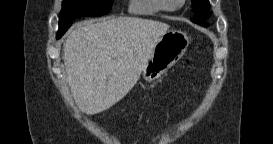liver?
Returning a JSON list of instances; mask_svg holds the SVG:
<instances>
[{"label":"liver","instance_id":"6515ba94","mask_svg":"<svg viewBox=\"0 0 273 144\" xmlns=\"http://www.w3.org/2000/svg\"><path fill=\"white\" fill-rule=\"evenodd\" d=\"M169 25L137 17L77 24L64 42V64L72 96L88 115L101 113L137 83Z\"/></svg>","mask_w":273,"mask_h":144}]
</instances>
